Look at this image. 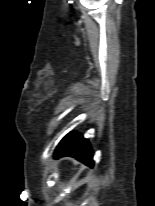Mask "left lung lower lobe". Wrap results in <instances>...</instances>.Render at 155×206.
<instances>
[{
	"label": "left lung lower lobe",
	"mask_w": 155,
	"mask_h": 206,
	"mask_svg": "<svg viewBox=\"0 0 155 206\" xmlns=\"http://www.w3.org/2000/svg\"><path fill=\"white\" fill-rule=\"evenodd\" d=\"M62 156L75 157L86 165L93 166V153L89 142L82 135L68 134L55 150V158Z\"/></svg>",
	"instance_id": "left-lung-lower-lobe-1"
}]
</instances>
